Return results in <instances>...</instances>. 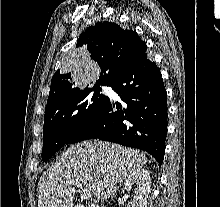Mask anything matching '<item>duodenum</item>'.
I'll use <instances>...</instances> for the list:
<instances>
[{
    "label": "duodenum",
    "mask_w": 220,
    "mask_h": 207,
    "mask_svg": "<svg viewBox=\"0 0 220 207\" xmlns=\"http://www.w3.org/2000/svg\"><path fill=\"white\" fill-rule=\"evenodd\" d=\"M76 207H99V206H95V205H92V206L77 205Z\"/></svg>",
    "instance_id": "obj_1"
}]
</instances>
